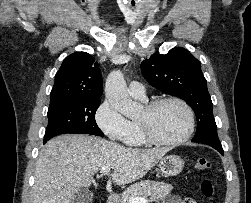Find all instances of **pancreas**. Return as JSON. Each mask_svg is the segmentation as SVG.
I'll use <instances>...</instances> for the list:
<instances>
[{"label":"pancreas","mask_w":251,"mask_h":203,"mask_svg":"<svg viewBox=\"0 0 251 203\" xmlns=\"http://www.w3.org/2000/svg\"><path fill=\"white\" fill-rule=\"evenodd\" d=\"M172 189L173 187L170 184L164 182L140 181L132 184L122 193L119 203H130L133 197H148V202H154L167 196Z\"/></svg>","instance_id":"cf45deb5"}]
</instances>
